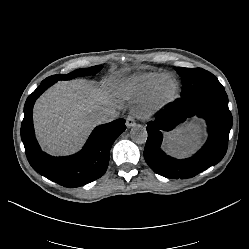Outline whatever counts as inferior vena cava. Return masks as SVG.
I'll return each mask as SVG.
<instances>
[{
  "instance_id": "602c4592",
  "label": "inferior vena cava",
  "mask_w": 249,
  "mask_h": 249,
  "mask_svg": "<svg viewBox=\"0 0 249 249\" xmlns=\"http://www.w3.org/2000/svg\"><path fill=\"white\" fill-rule=\"evenodd\" d=\"M119 113L114 108H107L97 113L98 124L108 123L115 120Z\"/></svg>"
}]
</instances>
